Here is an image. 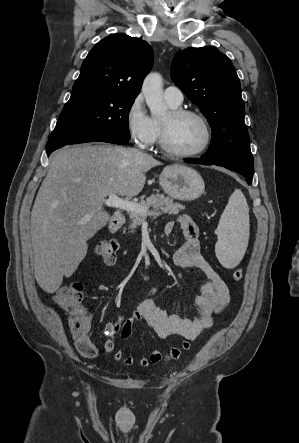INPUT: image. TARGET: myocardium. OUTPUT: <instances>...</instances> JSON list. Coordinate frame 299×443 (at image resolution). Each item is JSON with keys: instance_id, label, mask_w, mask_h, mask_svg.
<instances>
[{"instance_id": "1", "label": "myocardium", "mask_w": 299, "mask_h": 443, "mask_svg": "<svg viewBox=\"0 0 299 443\" xmlns=\"http://www.w3.org/2000/svg\"><path fill=\"white\" fill-rule=\"evenodd\" d=\"M170 114L173 118L193 116V117H196L197 119H199L201 121V123L203 124L204 130H205V138H204V141L201 144V146L199 148H197L196 150L189 151V152H180V151L173 150L172 148L169 147V145L167 143L166 125L160 121V124H159L160 130H159V137H158V145H159L160 150L168 156L175 157V158H181V159L193 158V157L199 156L202 153H204L208 149V147L210 146L211 141H212V129H211V125H210L208 119L201 112L193 110V109H186V108L172 109L170 111Z\"/></svg>"}]
</instances>
